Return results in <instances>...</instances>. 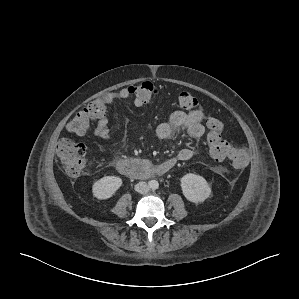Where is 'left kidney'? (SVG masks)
<instances>
[{
    "mask_svg": "<svg viewBox=\"0 0 299 299\" xmlns=\"http://www.w3.org/2000/svg\"><path fill=\"white\" fill-rule=\"evenodd\" d=\"M181 188L185 198L193 203L204 202L211 194L207 181L202 176L192 173L181 178Z\"/></svg>",
    "mask_w": 299,
    "mask_h": 299,
    "instance_id": "obj_1",
    "label": "left kidney"
}]
</instances>
